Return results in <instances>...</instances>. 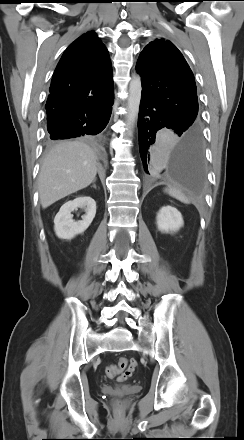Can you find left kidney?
<instances>
[{
    "instance_id": "obj_1",
    "label": "left kidney",
    "mask_w": 244,
    "mask_h": 440,
    "mask_svg": "<svg viewBox=\"0 0 244 440\" xmlns=\"http://www.w3.org/2000/svg\"><path fill=\"white\" fill-rule=\"evenodd\" d=\"M156 219L158 229L162 233L176 232L184 225L181 213L171 206L162 207Z\"/></svg>"
}]
</instances>
